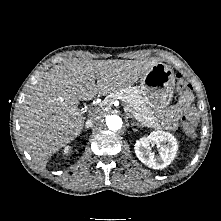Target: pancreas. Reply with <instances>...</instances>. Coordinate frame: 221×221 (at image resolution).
Returning a JSON list of instances; mask_svg holds the SVG:
<instances>
[{
  "label": "pancreas",
  "instance_id": "obj_1",
  "mask_svg": "<svg viewBox=\"0 0 221 221\" xmlns=\"http://www.w3.org/2000/svg\"><path fill=\"white\" fill-rule=\"evenodd\" d=\"M116 99L121 100L124 104V109L130 112L142 125L157 130L161 129L158 119L143 104L139 90L136 87H129L111 93L104 99L100 106L102 108H109Z\"/></svg>",
  "mask_w": 221,
  "mask_h": 221
}]
</instances>
